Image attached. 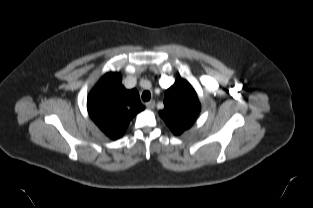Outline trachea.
<instances>
[{"label": "trachea", "mask_w": 313, "mask_h": 208, "mask_svg": "<svg viewBox=\"0 0 313 208\" xmlns=\"http://www.w3.org/2000/svg\"><path fill=\"white\" fill-rule=\"evenodd\" d=\"M150 98H151V94H150L149 91H144V92L142 93V99H143V101H149Z\"/></svg>", "instance_id": "trachea-1"}]
</instances>
